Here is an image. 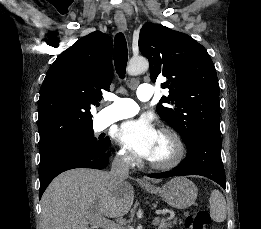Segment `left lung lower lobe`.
<instances>
[{"mask_svg":"<svg viewBox=\"0 0 261 229\" xmlns=\"http://www.w3.org/2000/svg\"><path fill=\"white\" fill-rule=\"evenodd\" d=\"M222 139L210 134L197 135L187 145V157L172 171L149 174L151 178H168L172 176L201 175L225 188L226 177L221 159Z\"/></svg>","mask_w":261,"mask_h":229,"instance_id":"left-lung-lower-lobe-1","label":"left lung lower lobe"}]
</instances>
